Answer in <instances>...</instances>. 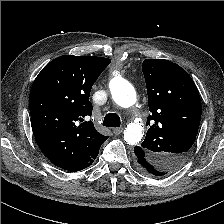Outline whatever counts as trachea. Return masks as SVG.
<instances>
[{
    "instance_id": "3493384b",
    "label": "trachea",
    "mask_w": 224,
    "mask_h": 224,
    "mask_svg": "<svg viewBox=\"0 0 224 224\" xmlns=\"http://www.w3.org/2000/svg\"><path fill=\"white\" fill-rule=\"evenodd\" d=\"M120 117L116 113H109L104 117L103 125L106 127H120Z\"/></svg>"
}]
</instances>
